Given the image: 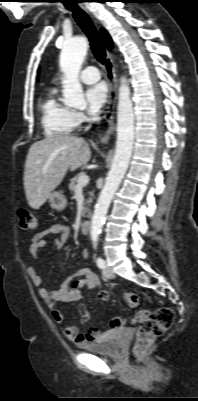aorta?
I'll use <instances>...</instances> for the list:
<instances>
[{
	"label": "aorta",
	"instance_id": "obj_1",
	"mask_svg": "<svg viewBox=\"0 0 198 401\" xmlns=\"http://www.w3.org/2000/svg\"><path fill=\"white\" fill-rule=\"evenodd\" d=\"M87 41L76 37L64 43L60 54V68L64 73L63 102L67 106L85 104L83 89L78 75L87 53ZM134 143V110L129 85L124 77L120 80L117 107V142L112 167L99 195L91 220L90 235L97 241L111 200L128 169Z\"/></svg>",
	"mask_w": 198,
	"mask_h": 401
}]
</instances>
